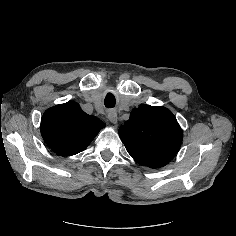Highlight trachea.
<instances>
[{"label":"trachea","mask_w":236,"mask_h":236,"mask_svg":"<svg viewBox=\"0 0 236 236\" xmlns=\"http://www.w3.org/2000/svg\"><path fill=\"white\" fill-rule=\"evenodd\" d=\"M104 104L107 108H113L115 106V97L111 94H109L105 100Z\"/></svg>","instance_id":"trachea-1"}]
</instances>
